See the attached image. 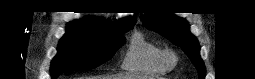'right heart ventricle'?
Returning a JSON list of instances; mask_svg holds the SVG:
<instances>
[{
	"label": "right heart ventricle",
	"mask_w": 255,
	"mask_h": 79,
	"mask_svg": "<svg viewBox=\"0 0 255 79\" xmlns=\"http://www.w3.org/2000/svg\"><path fill=\"white\" fill-rule=\"evenodd\" d=\"M161 51L155 42L135 32L124 54L122 68L128 72L163 75L167 68L161 61Z\"/></svg>",
	"instance_id": "obj_1"
}]
</instances>
